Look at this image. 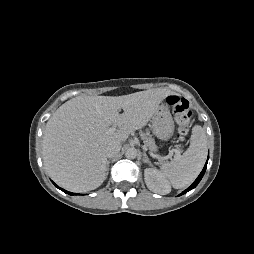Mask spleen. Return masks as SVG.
<instances>
[{
	"instance_id": "3e777b00",
	"label": "spleen",
	"mask_w": 254,
	"mask_h": 254,
	"mask_svg": "<svg viewBox=\"0 0 254 254\" xmlns=\"http://www.w3.org/2000/svg\"><path fill=\"white\" fill-rule=\"evenodd\" d=\"M207 157V136L204 129L192 128L190 145L183 155L171 162L163 163L161 173L175 189L191 184L201 172Z\"/></svg>"
}]
</instances>
